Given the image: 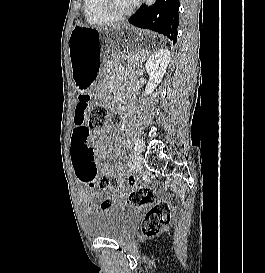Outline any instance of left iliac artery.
Instances as JSON below:
<instances>
[{
	"mask_svg": "<svg viewBox=\"0 0 265 273\" xmlns=\"http://www.w3.org/2000/svg\"><path fill=\"white\" fill-rule=\"evenodd\" d=\"M134 149H135V153L140 151V143L138 139L135 140Z\"/></svg>",
	"mask_w": 265,
	"mask_h": 273,
	"instance_id": "left-iliac-artery-1",
	"label": "left iliac artery"
}]
</instances>
